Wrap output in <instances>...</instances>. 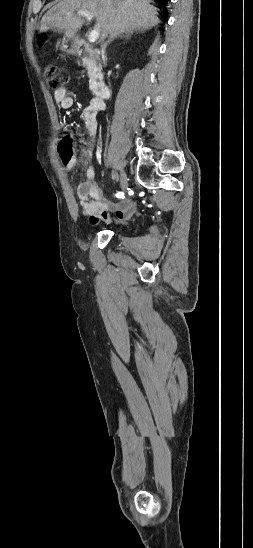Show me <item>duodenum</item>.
Returning a JSON list of instances; mask_svg holds the SVG:
<instances>
[{"label":"duodenum","instance_id":"duodenum-1","mask_svg":"<svg viewBox=\"0 0 253 548\" xmlns=\"http://www.w3.org/2000/svg\"><path fill=\"white\" fill-rule=\"evenodd\" d=\"M77 54L81 58L90 59V58H97L100 56V51L97 49H92L89 46L80 43L77 46ZM94 94L102 99H107L110 96V90L109 88L103 84V83H97L94 86Z\"/></svg>","mask_w":253,"mask_h":548}]
</instances>
